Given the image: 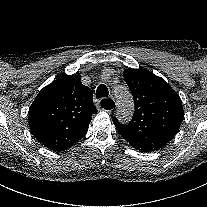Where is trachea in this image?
Returning a JSON list of instances; mask_svg holds the SVG:
<instances>
[{
  "instance_id": "trachea-1",
  "label": "trachea",
  "mask_w": 207,
  "mask_h": 207,
  "mask_svg": "<svg viewBox=\"0 0 207 207\" xmlns=\"http://www.w3.org/2000/svg\"><path fill=\"white\" fill-rule=\"evenodd\" d=\"M107 96H108V89H107V87L105 85H103V84L99 85L97 90H96V98L107 97ZM111 102H113V100L104 98L101 101V106L105 107V106H107Z\"/></svg>"
}]
</instances>
